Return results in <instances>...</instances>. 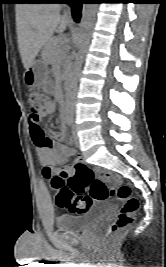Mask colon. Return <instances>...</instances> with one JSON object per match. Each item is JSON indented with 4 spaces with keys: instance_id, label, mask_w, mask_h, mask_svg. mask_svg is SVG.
Listing matches in <instances>:
<instances>
[{
    "instance_id": "obj_1",
    "label": "colon",
    "mask_w": 166,
    "mask_h": 267,
    "mask_svg": "<svg viewBox=\"0 0 166 267\" xmlns=\"http://www.w3.org/2000/svg\"><path fill=\"white\" fill-rule=\"evenodd\" d=\"M28 101L31 116L34 118L52 106L50 97L39 91L30 92ZM35 136L38 143L45 142L43 130L37 129ZM116 182L115 175L108 172L97 175L95 170L81 161L72 165L71 174L63 170L51 178L56 205L74 214L89 212L93 201L116 197L122 202L116 218L105 228V239L113 238L121 229L131 224L139 208V201L132 195L131 187L128 184L110 186ZM85 192H88V195H84Z\"/></svg>"
}]
</instances>
